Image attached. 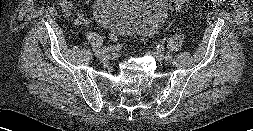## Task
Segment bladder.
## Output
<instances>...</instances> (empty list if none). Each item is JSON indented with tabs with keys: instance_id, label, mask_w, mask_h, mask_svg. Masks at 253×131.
Here are the masks:
<instances>
[{
	"instance_id": "obj_1",
	"label": "bladder",
	"mask_w": 253,
	"mask_h": 131,
	"mask_svg": "<svg viewBox=\"0 0 253 131\" xmlns=\"http://www.w3.org/2000/svg\"><path fill=\"white\" fill-rule=\"evenodd\" d=\"M93 14L112 33L130 36L156 32L165 21L167 7L163 0H95Z\"/></svg>"
}]
</instances>
